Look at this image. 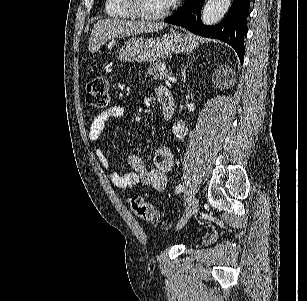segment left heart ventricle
Returning a JSON list of instances; mask_svg holds the SVG:
<instances>
[{"instance_id":"obj_1","label":"left heart ventricle","mask_w":307,"mask_h":301,"mask_svg":"<svg viewBox=\"0 0 307 301\" xmlns=\"http://www.w3.org/2000/svg\"><path fill=\"white\" fill-rule=\"evenodd\" d=\"M144 4L148 6H142V13H155L160 11V8L164 5V0H144Z\"/></svg>"}]
</instances>
